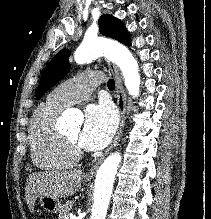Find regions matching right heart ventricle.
<instances>
[{
	"instance_id": "e07e8e85",
	"label": "right heart ventricle",
	"mask_w": 211,
	"mask_h": 219,
	"mask_svg": "<svg viewBox=\"0 0 211 219\" xmlns=\"http://www.w3.org/2000/svg\"><path fill=\"white\" fill-rule=\"evenodd\" d=\"M65 107L49 98L40 104L29 125V144L33 163L43 170H59L74 166L76 160L68 153L56 122Z\"/></svg>"
}]
</instances>
